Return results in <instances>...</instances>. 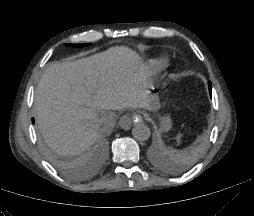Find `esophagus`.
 Returning <instances> with one entry per match:
<instances>
[{
    "mask_svg": "<svg viewBox=\"0 0 254 216\" xmlns=\"http://www.w3.org/2000/svg\"><path fill=\"white\" fill-rule=\"evenodd\" d=\"M133 122L143 121V117L140 114L124 115L119 120V126L122 129L129 130Z\"/></svg>",
    "mask_w": 254,
    "mask_h": 216,
    "instance_id": "1",
    "label": "esophagus"
}]
</instances>
